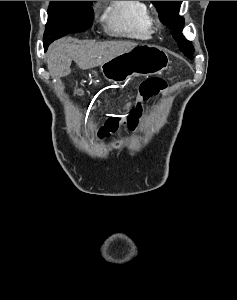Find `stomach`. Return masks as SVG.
Returning <instances> with one entry per match:
<instances>
[{"label":"stomach","mask_w":237,"mask_h":300,"mask_svg":"<svg viewBox=\"0 0 237 300\" xmlns=\"http://www.w3.org/2000/svg\"><path fill=\"white\" fill-rule=\"evenodd\" d=\"M169 57L161 47L138 45L101 65V73L107 81L125 83L131 77L161 75L169 67Z\"/></svg>","instance_id":"0dacf381"}]
</instances>
